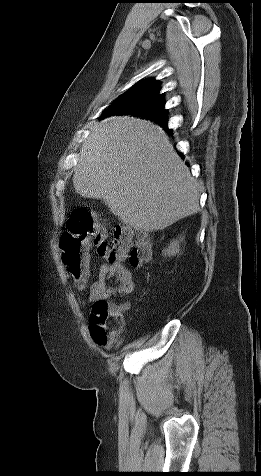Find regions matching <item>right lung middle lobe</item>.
Returning <instances> with one entry per match:
<instances>
[{
	"label": "right lung middle lobe",
	"mask_w": 261,
	"mask_h": 476,
	"mask_svg": "<svg viewBox=\"0 0 261 476\" xmlns=\"http://www.w3.org/2000/svg\"><path fill=\"white\" fill-rule=\"evenodd\" d=\"M111 115H133L150 119L159 125L166 122L164 104L157 101L121 102L117 100L104 111L101 118Z\"/></svg>",
	"instance_id": "obj_1"
}]
</instances>
